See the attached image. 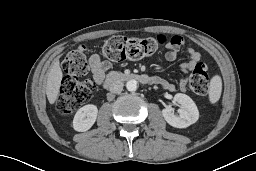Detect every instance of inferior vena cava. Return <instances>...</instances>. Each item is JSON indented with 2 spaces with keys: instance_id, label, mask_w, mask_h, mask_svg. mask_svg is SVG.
Segmentation results:
<instances>
[{
  "instance_id": "inferior-vena-cava-1",
  "label": "inferior vena cava",
  "mask_w": 256,
  "mask_h": 171,
  "mask_svg": "<svg viewBox=\"0 0 256 171\" xmlns=\"http://www.w3.org/2000/svg\"><path fill=\"white\" fill-rule=\"evenodd\" d=\"M109 91L112 93H119L123 90V83L119 80L113 81L108 86Z\"/></svg>"
}]
</instances>
